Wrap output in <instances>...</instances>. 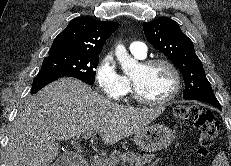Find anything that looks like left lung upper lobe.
I'll list each match as a JSON object with an SVG mask.
<instances>
[{
	"mask_svg": "<svg viewBox=\"0 0 231 166\" xmlns=\"http://www.w3.org/2000/svg\"><path fill=\"white\" fill-rule=\"evenodd\" d=\"M143 28L150 44L165 54L184 75V99L216 98L192 41L181 31L177 22L159 18L143 23Z\"/></svg>",
	"mask_w": 231,
	"mask_h": 166,
	"instance_id": "left-lung-upper-lobe-1",
	"label": "left lung upper lobe"
}]
</instances>
